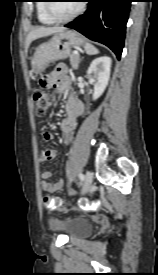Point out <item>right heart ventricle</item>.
<instances>
[{
	"instance_id": "e07e8e85",
	"label": "right heart ventricle",
	"mask_w": 158,
	"mask_h": 275,
	"mask_svg": "<svg viewBox=\"0 0 158 275\" xmlns=\"http://www.w3.org/2000/svg\"><path fill=\"white\" fill-rule=\"evenodd\" d=\"M46 0H39L36 6V10H37V17L38 20L40 21V23L42 24H53L56 21H54L46 12Z\"/></svg>"
}]
</instances>
